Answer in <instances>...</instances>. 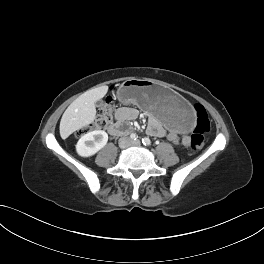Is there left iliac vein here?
<instances>
[{
    "mask_svg": "<svg viewBox=\"0 0 264 264\" xmlns=\"http://www.w3.org/2000/svg\"><path fill=\"white\" fill-rule=\"evenodd\" d=\"M131 145L140 146L141 145V141L140 140L132 141Z\"/></svg>",
    "mask_w": 264,
    "mask_h": 264,
    "instance_id": "left-iliac-vein-1",
    "label": "left iliac vein"
}]
</instances>
